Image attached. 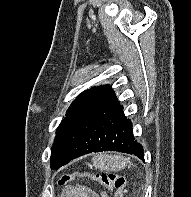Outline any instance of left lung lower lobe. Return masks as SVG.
<instances>
[{"instance_id":"1","label":"left lung lower lobe","mask_w":191,"mask_h":197,"mask_svg":"<svg viewBox=\"0 0 191 197\" xmlns=\"http://www.w3.org/2000/svg\"><path fill=\"white\" fill-rule=\"evenodd\" d=\"M67 129L73 151L60 165L82 155L119 151L134 154L144 161L143 147L133 137L132 123L111 90L100 98H90L79 105Z\"/></svg>"}]
</instances>
